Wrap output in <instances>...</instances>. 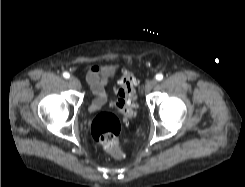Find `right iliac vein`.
I'll list each match as a JSON object with an SVG mask.
<instances>
[{
    "mask_svg": "<svg viewBox=\"0 0 245 187\" xmlns=\"http://www.w3.org/2000/svg\"><path fill=\"white\" fill-rule=\"evenodd\" d=\"M69 83L72 87L76 88V89H80L81 88V83L80 81L75 78V77H70L69 78Z\"/></svg>",
    "mask_w": 245,
    "mask_h": 187,
    "instance_id": "1",
    "label": "right iliac vein"
}]
</instances>
